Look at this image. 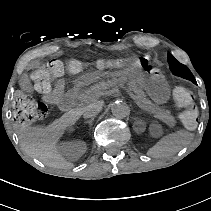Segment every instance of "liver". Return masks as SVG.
<instances>
[{"label": "liver", "instance_id": "6515ba94", "mask_svg": "<svg viewBox=\"0 0 211 211\" xmlns=\"http://www.w3.org/2000/svg\"><path fill=\"white\" fill-rule=\"evenodd\" d=\"M79 119L80 115L65 112L46 126L16 124L14 128L27 155L49 167L66 170L75 167V164L64 157L58 144L66 129L73 127Z\"/></svg>", "mask_w": 211, "mask_h": 211}]
</instances>
